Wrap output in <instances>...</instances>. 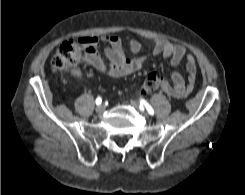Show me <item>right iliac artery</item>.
<instances>
[{
	"mask_svg": "<svg viewBox=\"0 0 245 195\" xmlns=\"http://www.w3.org/2000/svg\"><path fill=\"white\" fill-rule=\"evenodd\" d=\"M95 102H96V105H100L102 103V98L101 97H97Z\"/></svg>",
	"mask_w": 245,
	"mask_h": 195,
	"instance_id": "obj_1",
	"label": "right iliac artery"
}]
</instances>
